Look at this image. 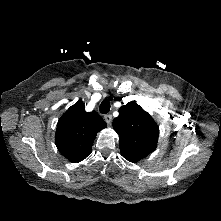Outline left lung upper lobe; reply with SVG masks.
Here are the masks:
<instances>
[{
    "instance_id": "obj_1",
    "label": "left lung upper lobe",
    "mask_w": 221,
    "mask_h": 221,
    "mask_svg": "<svg viewBox=\"0 0 221 221\" xmlns=\"http://www.w3.org/2000/svg\"><path fill=\"white\" fill-rule=\"evenodd\" d=\"M113 127L119 135L120 152L130 162L143 159L157 145L159 128L156 122L135 102L120 107Z\"/></svg>"
}]
</instances>
